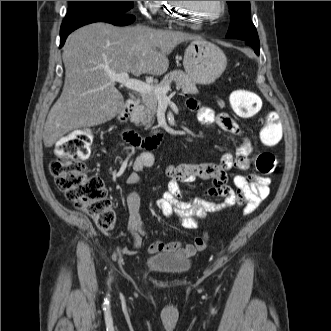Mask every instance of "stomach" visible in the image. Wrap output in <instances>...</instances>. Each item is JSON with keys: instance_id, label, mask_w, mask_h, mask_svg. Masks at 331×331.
Returning a JSON list of instances; mask_svg holds the SVG:
<instances>
[{"instance_id": "0dacf381", "label": "stomach", "mask_w": 331, "mask_h": 331, "mask_svg": "<svg viewBox=\"0 0 331 331\" xmlns=\"http://www.w3.org/2000/svg\"><path fill=\"white\" fill-rule=\"evenodd\" d=\"M183 65L192 81L206 85L220 77L227 59L217 45L200 38L193 40L186 48Z\"/></svg>"}]
</instances>
